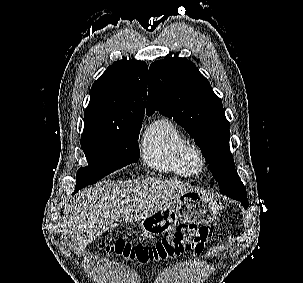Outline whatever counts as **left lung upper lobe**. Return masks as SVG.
I'll return each mask as SVG.
<instances>
[{"instance_id":"left-lung-upper-lobe-1","label":"left lung upper lobe","mask_w":303,"mask_h":283,"mask_svg":"<svg viewBox=\"0 0 303 283\" xmlns=\"http://www.w3.org/2000/svg\"><path fill=\"white\" fill-rule=\"evenodd\" d=\"M173 118L201 149L220 192L246 195L229 150V122L221 99L197 67L185 58L156 61L149 68L146 113Z\"/></svg>"}]
</instances>
